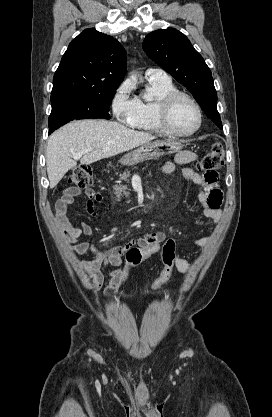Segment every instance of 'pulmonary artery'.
I'll list each match as a JSON object with an SVG mask.
<instances>
[{
    "instance_id": "obj_1",
    "label": "pulmonary artery",
    "mask_w": 272,
    "mask_h": 417,
    "mask_svg": "<svg viewBox=\"0 0 272 417\" xmlns=\"http://www.w3.org/2000/svg\"><path fill=\"white\" fill-rule=\"evenodd\" d=\"M146 77H147V79L159 80V81H164V80L170 79L168 74L164 70L158 69V68L148 69L146 71Z\"/></svg>"
}]
</instances>
